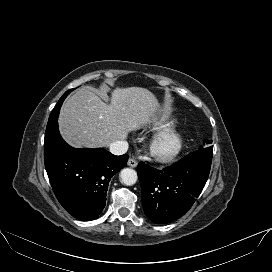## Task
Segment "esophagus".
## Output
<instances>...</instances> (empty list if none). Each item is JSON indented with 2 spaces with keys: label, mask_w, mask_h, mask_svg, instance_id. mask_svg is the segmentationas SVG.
I'll return each instance as SVG.
<instances>
[{
  "label": "esophagus",
  "mask_w": 272,
  "mask_h": 272,
  "mask_svg": "<svg viewBox=\"0 0 272 272\" xmlns=\"http://www.w3.org/2000/svg\"><path fill=\"white\" fill-rule=\"evenodd\" d=\"M127 165L132 168H135L137 166V162L134 159L130 158L127 162Z\"/></svg>",
  "instance_id": "esophagus-1"
}]
</instances>
